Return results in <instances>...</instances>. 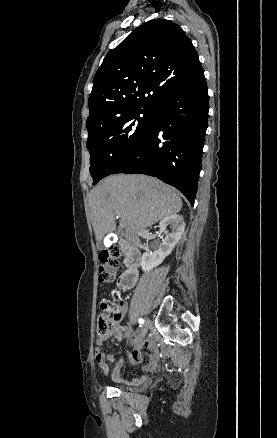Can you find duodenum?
Returning <instances> with one entry per match:
<instances>
[{"instance_id":"410a0bca","label":"duodenum","mask_w":277,"mask_h":438,"mask_svg":"<svg viewBox=\"0 0 277 438\" xmlns=\"http://www.w3.org/2000/svg\"><path fill=\"white\" fill-rule=\"evenodd\" d=\"M121 248L126 252V270L119 280V288L123 291L131 289L138 278V266L140 264V256L137 247L128 241L120 242Z\"/></svg>"}]
</instances>
